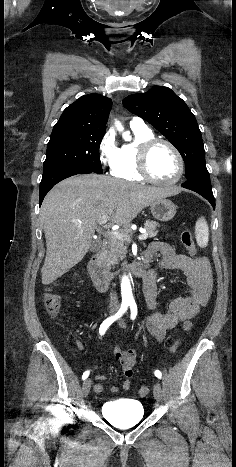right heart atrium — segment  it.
<instances>
[{
  "label": "right heart atrium",
  "instance_id": "obj_1",
  "mask_svg": "<svg viewBox=\"0 0 236 467\" xmlns=\"http://www.w3.org/2000/svg\"><path fill=\"white\" fill-rule=\"evenodd\" d=\"M119 148L115 136L108 131L101 138L98 145V157L102 166L113 169L117 163Z\"/></svg>",
  "mask_w": 236,
  "mask_h": 467
}]
</instances>
